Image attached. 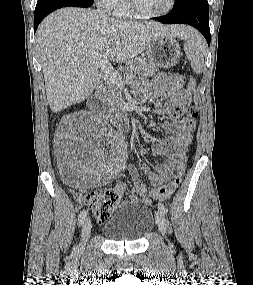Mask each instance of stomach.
Returning <instances> with one entry per match:
<instances>
[{"label": "stomach", "instance_id": "0dacf381", "mask_svg": "<svg viewBox=\"0 0 253 285\" xmlns=\"http://www.w3.org/2000/svg\"><path fill=\"white\" fill-rule=\"evenodd\" d=\"M145 53L152 66L165 69L175 66L182 56L180 45L170 36L160 37L151 42Z\"/></svg>", "mask_w": 253, "mask_h": 285}]
</instances>
